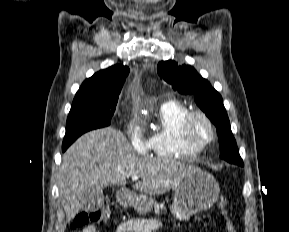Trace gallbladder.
Listing matches in <instances>:
<instances>
[{"label": "gallbladder", "mask_w": 289, "mask_h": 232, "mask_svg": "<svg viewBox=\"0 0 289 232\" xmlns=\"http://www.w3.org/2000/svg\"><path fill=\"white\" fill-rule=\"evenodd\" d=\"M103 202V191L91 188L89 191L86 190L84 192L82 209L87 213L95 212L102 208Z\"/></svg>", "instance_id": "gallbladder-1"}]
</instances>
